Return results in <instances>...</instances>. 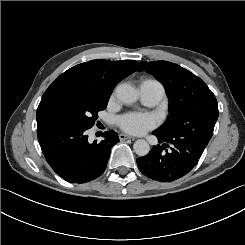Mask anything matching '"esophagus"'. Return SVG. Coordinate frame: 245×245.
Wrapping results in <instances>:
<instances>
[{
	"label": "esophagus",
	"mask_w": 245,
	"mask_h": 245,
	"mask_svg": "<svg viewBox=\"0 0 245 245\" xmlns=\"http://www.w3.org/2000/svg\"><path fill=\"white\" fill-rule=\"evenodd\" d=\"M132 138H133L132 136L127 135V134H119V139H120L121 141L127 140V139H132Z\"/></svg>",
	"instance_id": "1"
}]
</instances>
